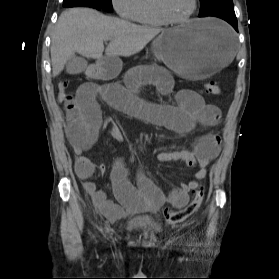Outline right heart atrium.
I'll return each instance as SVG.
<instances>
[{"label":"right heart atrium","instance_id":"1","mask_svg":"<svg viewBox=\"0 0 279 279\" xmlns=\"http://www.w3.org/2000/svg\"><path fill=\"white\" fill-rule=\"evenodd\" d=\"M139 0H111L116 13L123 19L134 20Z\"/></svg>","mask_w":279,"mask_h":279}]
</instances>
